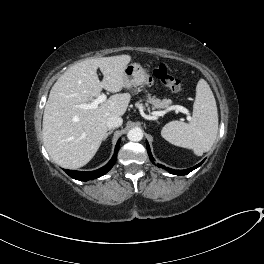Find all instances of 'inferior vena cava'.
<instances>
[{"label": "inferior vena cava", "mask_w": 264, "mask_h": 264, "mask_svg": "<svg viewBox=\"0 0 264 264\" xmlns=\"http://www.w3.org/2000/svg\"><path fill=\"white\" fill-rule=\"evenodd\" d=\"M123 123V120L120 116H111L107 119L106 125L109 129L118 128Z\"/></svg>", "instance_id": "inferior-vena-cava-1"}]
</instances>
